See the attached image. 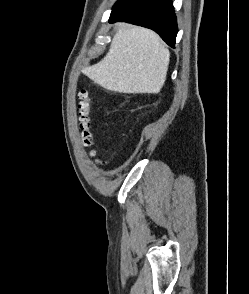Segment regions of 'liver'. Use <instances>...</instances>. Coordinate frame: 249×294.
I'll return each mask as SVG.
<instances>
[{
    "instance_id": "liver-1",
    "label": "liver",
    "mask_w": 249,
    "mask_h": 294,
    "mask_svg": "<svg viewBox=\"0 0 249 294\" xmlns=\"http://www.w3.org/2000/svg\"><path fill=\"white\" fill-rule=\"evenodd\" d=\"M170 52L146 28L120 24L106 56L84 70L101 87L119 93H158L164 86Z\"/></svg>"
}]
</instances>
